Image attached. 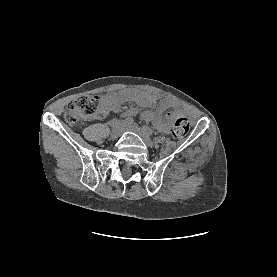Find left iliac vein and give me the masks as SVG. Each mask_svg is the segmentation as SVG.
<instances>
[{"instance_id":"obj_1","label":"left iliac vein","mask_w":277,"mask_h":277,"mask_svg":"<svg viewBox=\"0 0 277 277\" xmlns=\"http://www.w3.org/2000/svg\"><path fill=\"white\" fill-rule=\"evenodd\" d=\"M124 130L137 134L138 136L141 137V139L144 141V143L148 147L152 146L153 143H152L151 139L149 138V136L142 129H140L138 126L133 125V124H131V125L130 124H125Z\"/></svg>"}]
</instances>
